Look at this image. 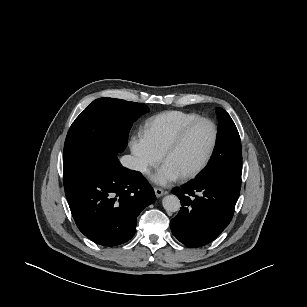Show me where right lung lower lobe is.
<instances>
[{
  "label": "right lung lower lobe",
  "mask_w": 307,
  "mask_h": 307,
  "mask_svg": "<svg viewBox=\"0 0 307 307\" xmlns=\"http://www.w3.org/2000/svg\"><path fill=\"white\" fill-rule=\"evenodd\" d=\"M65 195L79 230L104 246L131 239L137 216L156 199L141 173L122 167L117 156L66 187Z\"/></svg>",
  "instance_id": "98d812e1"
}]
</instances>
